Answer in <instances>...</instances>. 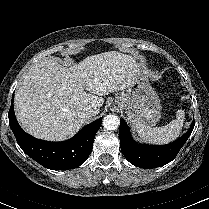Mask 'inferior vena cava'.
I'll return each mask as SVG.
<instances>
[{
    "instance_id": "602c4592",
    "label": "inferior vena cava",
    "mask_w": 209,
    "mask_h": 209,
    "mask_svg": "<svg viewBox=\"0 0 209 209\" xmlns=\"http://www.w3.org/2000/svg\"><path fill=\"white\" fill-rule=\"evenodd\" d=\"M85 113H86V115H88V116H93L94 114L97 113V110H96V108H94V107H92V106H87V107L85 108Z\"/></svg>"
}]
</instances>
